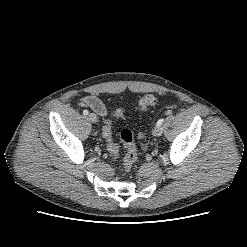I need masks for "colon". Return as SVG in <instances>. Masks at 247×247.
<instances>
[{
  "mask_svg": "<svg viewBox=\"0 0 247 247\" xmlns=\"http://www.w3.org/2000/svg\"><path fill=\"white\" fill-rule=\"evenodd\" d=\"M157 103V98L152 94H146L142 96L138 102V109L140 111H146L150 107L154 106ZM112 116L114 117H123L121 110H116L113 112ZM103 137L107 142V148L111 154H116L119 150V146L112 142L111 136V119H107L104 123L102 130ZM143 136V134H141ZM121 144L126 149V153L123 159L124 169L126 172H130L134 163L137 160V148L135 144L134 134L130 129L122 130L120 134Z\"/></svg>",
  "mask_w": 247,
  "mask_h": 247,
  "instance_id": "1",
  "label": "colon"
}]
</instances>
